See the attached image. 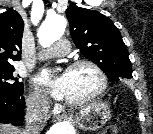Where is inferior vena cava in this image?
<instances>
[{
  "label": "inferior vena cava",
  "instance_id": "obj_1",
  "mask_svg": "<svg viewBox=\"0 0 153 134\" xmlns=\"http://www.w3.org/2000/svg\"><path fill=\"white\" fill-rule=\"evenodd\" d=\"M26 106L23 134H40L49 118V102L43 97H37L27 101Z\"/></svg>",
  "mask_w": 153,
  "mask_h": 134
}]
</instances>
